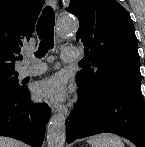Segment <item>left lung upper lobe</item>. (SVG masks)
<instances>
[{"label": "left lung upper lobe", "mask_w": 145, "mask_h": 147, "mask_svg": "<svg viewBox=\"0 0 145 147\" xmlns=\"http://www.w3.org/2000/svg\"><path fill=\"white\" fill-rule=\"evenodd\" d=\"M66 10L79 19L76 38L84 45L88 63L87 69L76 74L77 82L99 91L119 79H141L134 25L121 4L116 0H70Z\"/></svg>", "instance_id": "1"}]
</instances>
